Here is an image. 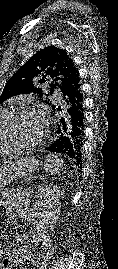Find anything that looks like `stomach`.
I'll use <instances>...</instances> for the list:
<instances>
[{"instance_id":"1","label":"stomach","mask_w":118,"mask_h":269,"mask_svg":"<svg viewBox=\"0 0 118 269\" xmlns=\"http://www.w3.org/2000/svg\"><path fill=\"white\" fill-rule=\"evenodd\" d=\"M38 166L39 161L29 157L21 158L8 166L0 167V192L5 185L18 178L30 175Z\"/></svg>"}]
</instances>
